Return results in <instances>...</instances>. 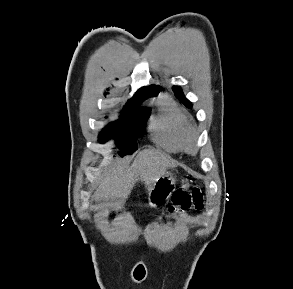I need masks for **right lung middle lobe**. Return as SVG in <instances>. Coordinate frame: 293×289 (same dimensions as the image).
<instances>
[{
	"mask_svg": "<svg viewBox=\"0 0 293 289\" xmlns=\"http://www.w3.org/2000/svg\"><path fill=\"white\" fill-rule=\"evenodd\" d=\"M140 103L141 101L127 103L120 120L105 128L99 135V141L104 143L115 135L116 143L121 148L130 153L135 151L137 149L136 139L144 134L146 122L150 116L148 110L136 111Z\"/></svg>",
	"mask_w": 293,
	"mask_h": 289,
	"instance_id": "1",
	"label": "right lung middle lobe"
}]
</instances>
